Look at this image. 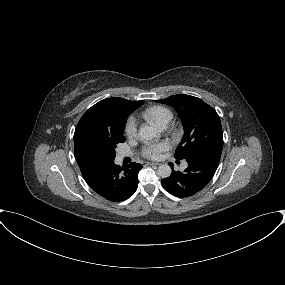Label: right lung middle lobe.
I'll return each instance as SVG.
<instances>
[{"label": "right lung middle lobe", "instance_id": "obj_1", "mask_svg": "<svg viewBox=\"0 0 285 285\" xmlns=\"http://www.w3.org/2000/svg\"><path fill=\"white\" fill-rule=\"evenodd\" d=\"M126 120L112 129L97 128L85 132L78 142L79 157L91 164L113 162L117 145L125 141L123 132Z\"/></svg>", "mask_w": 285, "mask_h": 285}]
</instances>
